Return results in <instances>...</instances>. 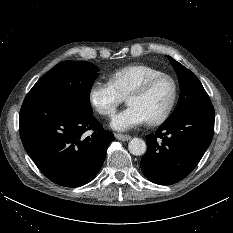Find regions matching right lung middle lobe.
<instances>
[{"instance_id":"1","label":"right lung middle lobe","mask_w":233,"mask_h":233,"mask_svg":"<svg viewBox=\"0 0 233 233\" xmlns=\"http://www.w3.org/2000/svg\"><path fill=\"white\" fill-rule=\"evenodd\" d=\"M98 71L90 62L63 61L43 75L27 96L66 99L93 115L89 96Z\"/></svg>"}]
</instances>
